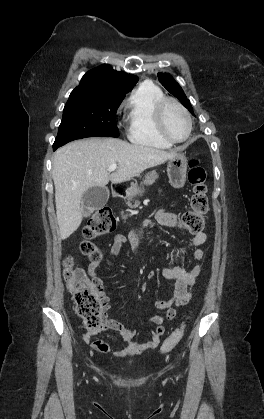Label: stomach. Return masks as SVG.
I'll use <instances>...</instances> for the list:
<instances>
[{
	"instance_id": "obj_1",
	"label": "stomach",
	"mask_w": 264,
	"mask_h": 419,
	"mask_svg": "<svg viewBox=\"0 0 264 419\" xmlns=\"http://www.w3.org/2000/svg\"><path fill=\"white\" fill-rule=\"evenodd\" d=\"M167 174L170 184L175 188H181L185 185L187 174V159L183 153H177L175 157L169 159ZM137 184H133L127 189L126 195L133 198L139 193Z\"/></svg>"
}]
</instances>
